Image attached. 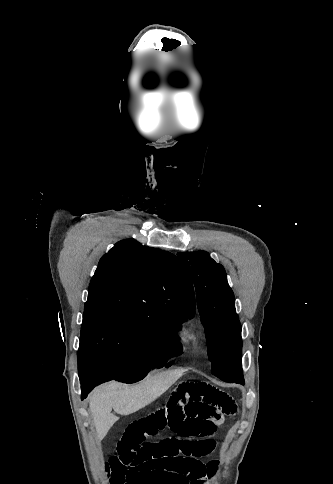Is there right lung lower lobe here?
Masks as SVG:
<instances>
[{"instance_id": "1", "label": "right lung lower lobe", "mask_w": 333, "mask_h": 484, "mask_svg": "<svg viewBox=\"0 0 333 484\" xmlns=\"http://www.w3.org/2000/svg\"><path fill=\"white\" fill-rule=\"evenodd\" d=\"M179 345L182 347L181 343H179ZM111 379V375L104 373L98 367H92L90 375L80 378L82 399H84L96 385Z\"/></svg>"}]
</instances>
